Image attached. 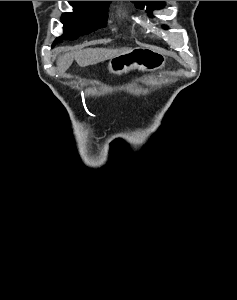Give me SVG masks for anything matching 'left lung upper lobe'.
<instances>
[{
	"label": "left lung upper lobe",
	"mask_w": 237,
	"mask_h": 300,
	"mask_svg": "<svg viewBox=\"0 0 237 300\" xmlns=\"http://www.w3.org/2000/svg\"><path fill=\"white\" fill-rule=\"evenodd\" d=\"M131 2L135 3L138 8H143L145 5H147L148 12L156 8L157 9L163 8L165 5V3L162 1H131Z\"/></svg>",
	"instance_id": "5c2ea615"
}]
</instances>
